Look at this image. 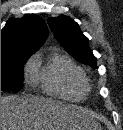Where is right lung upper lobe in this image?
Here are the masks:
<instances>
[{"label": "right lung upper lobe", "instance_id": "right-lung-upper-lobe-1", "mask_svg": "<svg viewBox=\"0 0 123 130\" xmlns=\"http://www.w3.org/2000/svg\"><path fill=\"white\" fill-rule=\"evenodd\" d=\"M48 28L34 14L10 18L1 32V58L18 54H33L45 42Z\"/></svg>", "mask_w": 123, "mask_h": 130}]
</instances>
